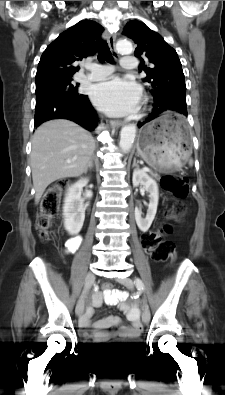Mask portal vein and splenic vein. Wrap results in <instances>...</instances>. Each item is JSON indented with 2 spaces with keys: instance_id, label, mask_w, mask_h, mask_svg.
Returning <instances> with one entry per match:
<instances>
[{
  "instance_id": "obj_1",
  "label": "portal vein and splenic vein",
  "mask_w": 225,
  "mask_h": 395,
  "mask_svg": "<svg viewBox=\"0 0 225 395\" xmlns=\"http://www.w3.org/2000/svg\"><path fill=\"white\" fill-rule=\"evenodd\" d=\"M143 170H144V171H147V172H150V171H151L150 168H148V167H144Z\"/></svg>"
}]
</instances>
